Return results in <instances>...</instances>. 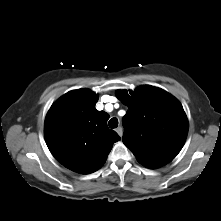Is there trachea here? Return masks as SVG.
<instances>
[{"mask_svg": "<svg viewBox=\"0 0 221 221\" xmlns=\"http://www.w3.org/2000/svg\"><path fill=\"white\" fill-rule=\"evenodd\" d=\"M108 125L112 129L116 128L118 126V119L116 117L110 119Z\"/></svg>", "mask_w": 221, "mask_h": 221, "instance_id": "obj_1", "label": "trachea"}]
</instances>
